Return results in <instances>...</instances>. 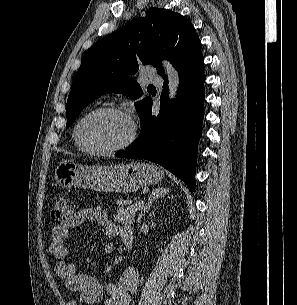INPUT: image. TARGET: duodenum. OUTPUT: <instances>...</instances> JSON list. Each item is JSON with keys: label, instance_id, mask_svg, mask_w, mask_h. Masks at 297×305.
<instances>
[{"label": "duodenum", "instance_id": "duodenum-1", "mask_svg": "<svg viewBox=\"0 0 297 305\" xmlns=\"http://www.w3.org/2000/svg\"><path fill=\"white\" fill-rule=\"evenodd\" d=\"M122 240L127 248H131L133 245V230H124L122 233Z\"/></svg>", "mask_w": 297, "mask_h": 305}]
</instances>
